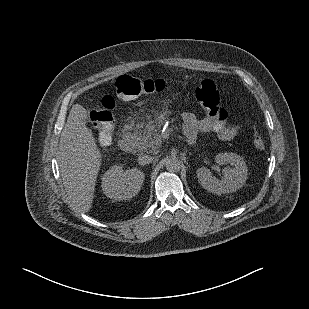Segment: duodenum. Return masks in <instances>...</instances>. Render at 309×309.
<instances>
[{
    "mask_svg": "<svg viewBox=\"0 0 309 309\" xmlns=\"http://www.w3.org/2000/svg\"><path fill=\"white\" fill-rule=\"evenodd\" d=\"M119 148L123 152H131L134 149L135 141L133 136L130 133H125L118 142Z\"/></svg>",
    "mask_w": 309,
    "mask_h": 309,
    "instance_id": "obj_1",
    "label": "duodenum"
}]
</instances>
